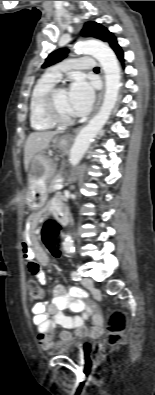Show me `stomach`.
Segmentation results:
<instances>
[{"label": "stomach", "instance_id": "1", "mask_svg": "<svg viewBox=\"0 0 155 395\" xmlns=\"http://www.w3.org/2000/svg\"><path fill=\"white\" fill-rule=\"evenodd\" d=\"M54 143L61 149L68 146V139L57 137ZM56 165L52 160L47 159L42 153L36 154L30 165L29 184L27 190V204L31 210H38L47 199V183L53 177Z\"/></svg>", "mask_w": 155, "mask_h": 395}]
</instances>
